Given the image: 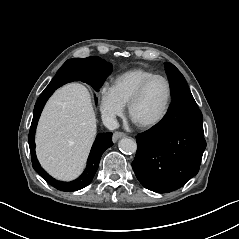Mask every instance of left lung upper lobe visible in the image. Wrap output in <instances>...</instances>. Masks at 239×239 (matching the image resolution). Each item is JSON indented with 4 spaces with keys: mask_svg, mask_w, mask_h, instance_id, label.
Here are the masks:
<instances>
[{
    "mask_svg": "<svg viewBox=\"0 0 239 239\" xmlns=\"http://www.w3.org/2000/svg\"><path fill=\"white\" fill-rule=\"evenodd\" d=\"M166 73L171 83L172 96L188 92L189 87L181 72L171 63H165Z\"/></svg>",
    "mask_w": 239,
    "mask_h": 239,
    "instance_id": "1",
    "label": "left lung upper lobe"
}]
</instances>
